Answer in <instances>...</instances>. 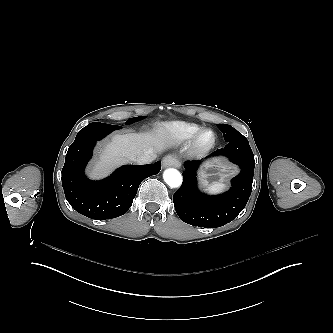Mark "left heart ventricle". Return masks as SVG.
Returning <instances> with one entry per match:
<instances>
[{"label":"left heart ventricle","instance_id":"b2bd125f","mask_svg":"<svg viewBox=\"0 0 333 333\" xmlns=\"http://www.w3.org/2000/svg\"><path fill=\"white\" fill-rule=\"evenodd\" d=\"M210 139H211V135L209 133H207L203 136V142H208V141H210Z\"/></svg>","mask_w":333,"mask_h":333}]
</instances>
